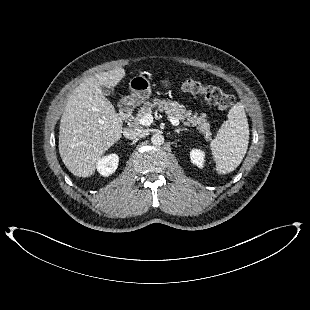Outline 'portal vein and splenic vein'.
<instances>
[{"instance_id": "obj_1", "label": "portal vein and splenic vein", "mask_w": 310, "mask_h": 310, "mask_svg": "<svg viewBox=\"0 0 310 310\" xmlns=\"http://www.w3.org/2000/svg\"><path fill=\"white\" fill-rule=\"evenodd\" d=\"M169 121L171 122L172 125L174 126H178L179 125V119L172 117V116H168ZM153 122V115L151 113H146L140 120H139V124L143 125V126H149L151 125Z\"/></svg>"}]
</instances>
